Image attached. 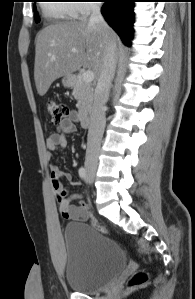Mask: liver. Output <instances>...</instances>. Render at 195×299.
Wrapping results in <instances>:
<instances>
[{
	"label": "liver",
	"mask_w": 195,
	"mask_h": 299,
	"mask_svg": "<svg viewBox=\"0 0 195 299\" xmlns=\"http://www.w3.org/2000/svg\"><path fill=\"white\" fill-rule=\"evenodd\" d=\"M109 40L117 42L109 27L90 25L87 19L60 22L42 29L35 40L34 79L38 94L45 95L56 79L72 75L81 67L92 69L99 77Z\"/></svg>",
	"instance_id": "obj_1"
}]
</instances>
